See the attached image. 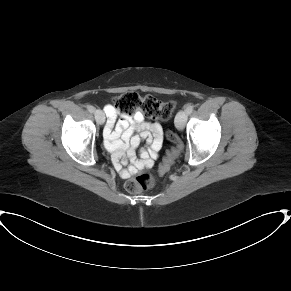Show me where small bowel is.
<instances>
[{"label":"small bowel","mask_w":291,"mask_h":291,"mask_svg":"<svg viewBox=\"0 0 291 291\" xmlns=\"http://www.w3.org/2000/svg\"><path fill=\"white\" fill-rule=\"evenodd\" d=\"M104 110L107 115L104 129L106 147L110 150L121 176L129 178L146 168H151L159 158L163 144L160 124L156 121H146L143 113L139 111L129 114L113 105H106ZM143 141L148 147L137 151Z\"/></svg>","instance_id":"obj_1"}]
</instances>
